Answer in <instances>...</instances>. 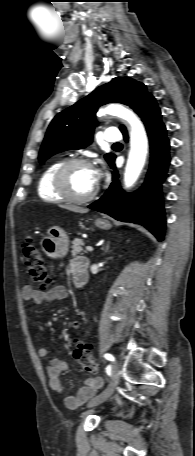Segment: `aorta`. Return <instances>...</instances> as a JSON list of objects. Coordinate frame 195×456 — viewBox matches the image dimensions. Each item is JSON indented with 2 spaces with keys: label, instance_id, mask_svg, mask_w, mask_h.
Masks as SVG:
<instances>
[{
  "label": "aorta",
  "instance_id": "1",
  "mask_svg": "<svg viewBox=\"0 0 195 456\" xmlns=\"http://www.w3.org/2000/svg\"><path fill=\"white\" fill-rule=\"evenodd\" d=\"M98 115L118 116L130 124V151L124 173L125 187L129 188L137 181L145 164L148 150L145 129L138 117L120 104L107 105L99 111Z\"/></svg>",
  "mask_w": 195,
  "mask_h": 456
}]
</instances>
